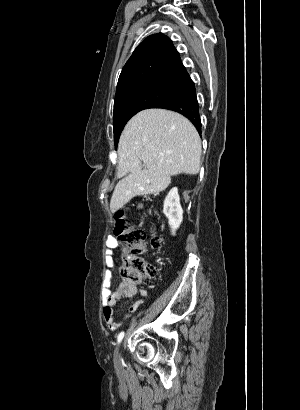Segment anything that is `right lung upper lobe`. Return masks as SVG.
I'll return each mask as SVG.
<instances>
[{
  "instance_id": "right-lung-upper-lobe-1",
  "label": "right lung upper lobe",
  "mask_w": 300,
  "mask_h": 410,
  "mask_svg": "<svg viewBox=\"0 0 300 410\" xmlns=\"http://www.w3.org/2000/svg\"><path fill=\"white\" fill-rule=\"evenodd\" d=\"M169 81L189 83L191 79L172 41L161 33L153 34L137 46L126 62L116 95L133 85Z\"/></svg>"
}]
</instances>
